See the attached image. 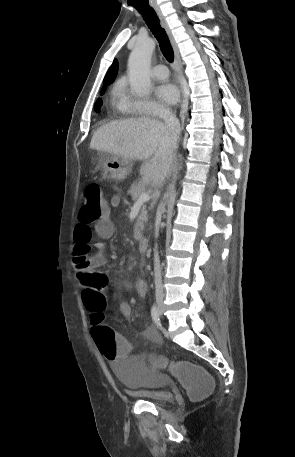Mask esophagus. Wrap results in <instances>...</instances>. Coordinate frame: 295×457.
Returning <instances> with one entry per match:
<instances>
[{"mask_svg": "<svg viewBox=\"0 0 295 457\" xmlns=\"http://www.w3.org/2000/svg\"><path fill=\"white\" fill-rule=\"evenodd\" d=\"M154 7V10L155 12L157 13L159 19H160V22H161V25L162 27L165 29L168 37H169V40H170V43L172 45V48H173V51H174V66H175V69L177 71V74L179 76V78L181 79L182 77V65H181V59H180V54H179V50H178V47H177V44L174 40V37L171 33V30L166 22V19L165 17L163 16L161 10L159 9L158 6H153ZM181 90H182V95H183V100H182V112L184 111V109L187 107V104H188V99H187V96L183 90V87H182V84H181Z\"/></svg>", "mask_w": 295, "mask_h": 457, "instance_id": "1", "label": "esophagus"}]
</instances>
